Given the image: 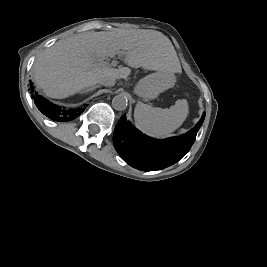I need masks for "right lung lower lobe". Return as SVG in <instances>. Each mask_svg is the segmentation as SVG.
Listing matches in <instances>:
<instances>
[{"label":"right lung lower lobe","mask_w":267,"mask_h":267,"mask_svg":"<svg viewBox=\"0 0 267 267\" xmlns=\"http://www.w3.org/2000/svg\"><path fill=\"white\" fill-rule=\"evenodd\" d=\"M33 93V91H31ZM35 105L48 118L55 121H70L82 114L84 108L64 110L48 102L42 96L33 94Z\"/></svg>","instance_id":"obj_1"}]
</instances>
